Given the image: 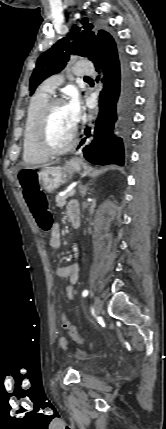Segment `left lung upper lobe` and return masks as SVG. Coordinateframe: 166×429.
<instances>
[{
	"label": "left lung upper lobe",
	"instance_id": "1",
	"mask_svg": "<svg viewBox=\"0 0 166 429\" xmlns=\"http://www.w3.org/2000/svg\"><path fill=\"white\" fill-rule=\"evenodd\" d=\"M81 23L82 26L74 25L66 38L60 39L37 59L29 83L31 94L43 80L60 72L72 55L87 57L92 61L98 43L115 42L114 37L107 31L93 30L94 26L88 23L87 18L82 19Z\"/></svg>",
	"mask_w": 166,
	"mask_h": 429
}]
</instances>
